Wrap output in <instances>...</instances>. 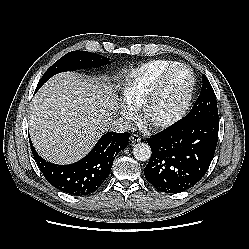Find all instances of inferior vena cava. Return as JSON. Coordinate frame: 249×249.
Masks as SVG:
<instances>
[{"label":"inferior vena cava","instance_id":"obj_1","mask_svg":"<svg viewBox=\"0 0 249 249\" xmlns=\"http://www.w3.org/2000/svg\"><path fill=\"white\" fill-rule=\"evenodd\" d=\"M109 129L114 132L124 133L132 129V124L123 118H118L109 123Z\"/></svg>","mask_w":249,"mask_h":249}]
</instances>
